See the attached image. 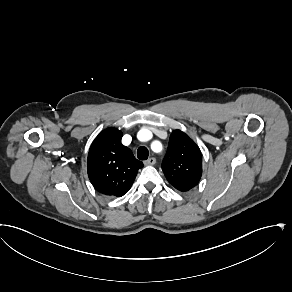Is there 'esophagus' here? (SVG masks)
Wrapping results in <instances>:
<instances>
[{
    "label": "esophagus",
    "mask_w": 292,
    "mask_h": 292,
    "mask_svg": "<svg viewBox=\"0 0 292 292\" xmlns=\"http://www.w3.org/2000/svg\"><path fill=\"white\" fill-rule=\"evenodd\" d=\"M156 163V159L154 157H151L150 159L144 161L145 165H154Z\"/></svg>",
    "instance_id": "esophagus-1"
}]
</instances>
